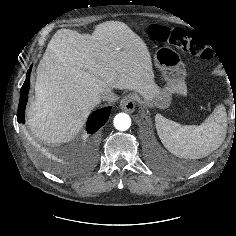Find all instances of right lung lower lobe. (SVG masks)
<instances>
[{
	"label": "right lung lower lobe",
	"instance_id": "1",
	"mask_svg": "<svg viewBox=\"0 0 236 236\" xmlns=\"http://www.w3.org/2000/svg\"><path fill=\"white\" fill-rule=\"evenodd\" d=\"M31 68H29L26 80L21 88L20 92V100H19V106L17 111V120L19 123L25 122V107L28 100V92H29V86H30V71ZM111 107H105L102 109H99L95 112H93L86 123V131L88 133V137L86 138V144L87 145H93L94 143V137L95 133L108 121V118L110 116Z\"/></svg>",
	"mask_w": 236,
	"mask_h": 236
}]
</instances>
